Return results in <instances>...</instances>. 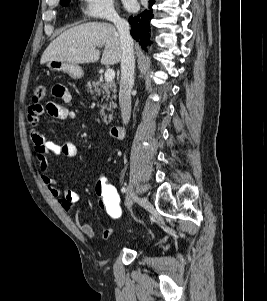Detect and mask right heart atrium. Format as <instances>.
Wrapping results in <instances>:
<instances>
[{
  "label": "right heart atrium",
  "mask_w": 267,
  "mask_h": 301,
  "mask_svg": "<svg viewBox=\"0 0 267 301\" xmlns=\"http://www.w3.org/2000/svg\"><path fill=\"white\" fill-rule=\"evenodd\" d=\"M83 11L90 18L107 20L118 19L114 0H82Z\"/></svg>",
  "instance_id": "obj_1"
}]
</instances>
